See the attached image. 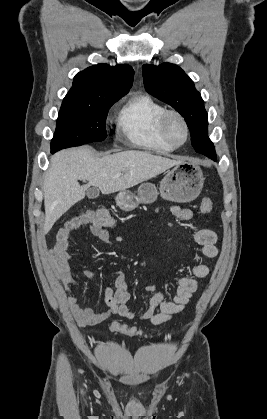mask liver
Wrapping results in <instances>:
<instances>
[{"label":"liver","instance_id":"1","mask_svg":"<svg viewBox=\"0 0 267 419\" xmlns=\"http://www.w3.org/2000/svg\"><path fill=\"white\" fill-rule=\"evenodd\" d=\"M180 162L137 150L99 158L89 146L56 153L44 175V233L85 197L89 186L99 188L105 195L115 193L149 180ZM79 180L89 183L81 186Z\"/></svg>","mask_w":267,"mask_h":419}]
</instances>
